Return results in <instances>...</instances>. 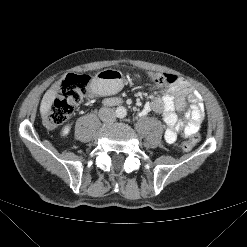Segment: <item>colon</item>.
I'll use <instances>...</instances> for the list:
<instances>
[{
	"label": "colon",
	"instance_id": "1",
	"mask_svg": "<svg viewBox=\"0 0 247 247\" xmlns=\"http://www.w3.org/2000/svg\"><path fill=\"white\" fill-rule=\"evenodd\" d=\"M148 79L155 85H170L177 81V77L168 73H149ZM90 78L87 75L68 74L56 87L55 97L45 114V124L52 128L67 121L85 98L89 88ZM200 140L199 134L181 144L184 151L193 149Z\"/></svg>",
	"mask_w": 247,
	"mask_h": 247
}]
</instances>
